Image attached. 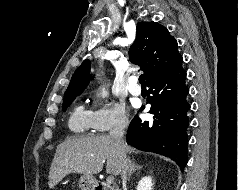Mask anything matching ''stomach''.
<instances>
[{
    "label": "stomach",
    "instance_id": "obj_1",
    "mask_svg": "<svg viewBox=\"0 0 238 190\" xmlns=\"http://www.w3.org/2000/svg\"><path fill=\"white\" fill-rule=\"evenodd\" d=\"M81 190H95L97 181L94 177L82 175L78 181Z\"/></svg>",
    "mask_w": 238,
    "mask_h": 190
}]
</instances>
